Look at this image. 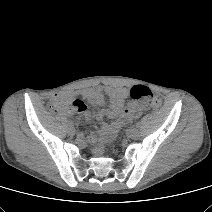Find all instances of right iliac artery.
I'll return each mask as SVG.
<instances>
[{"mask_svg": "<svg viewBox=\"0 0 212 212\" xmlns=\"http://www.w3.org/2000/svg\"><path fill=\"white\" fill-rule=\"evenodd\" d=\"M68 124H69L70 126H73L74 123H73V121H69Z\"/></svg>", "mask_w": 212, "mask_h": 212, "instance_id": "82829eb1", "label": "right iliac artery"}]
</instances>
